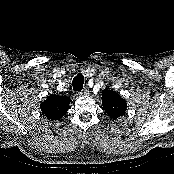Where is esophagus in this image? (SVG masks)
<instances>
[{
    "instance_id": "esophagus-1",
    "label": "esophagus",
    "mask_w": 174,
    "mask_h": 174,
    "mask_svg": "<svg viewBox=\"0 0 174 174\" xmlns=\"http://www.w3.org/2000/svg\"><path fill=\"white\" fill-rule=\"evenodd\" d=\"M88 93H89L88 88H84V89L79 93V95L83 96V95H87Z\"/></svg>"
}]
</instances>
